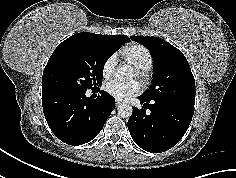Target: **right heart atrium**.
<instances>
[{"label":"right heart atrium","mask_w":236,"mask_h":178,"mask_svg":"<svg viewBox=\"0 0 236 178\" xmlns=\"http://www.w3.org/2000/svg\"><path fill=\"white\" fill-rule=\"evenodd\" d=\"M117 62L116 55H110L102 65V75L104 78L108 79L112 76Z\"/></svg>","instance_id":"right-heart-atrium-1"}]
</instances>
